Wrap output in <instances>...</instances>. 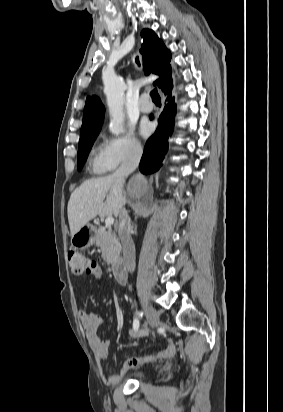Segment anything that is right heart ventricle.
<instances>
[{
	"label": "right heart ventricle",
	"instance_id": "right-heart-ventricle-1",
	"mask_svg": "<svg viewBox=\"0 0 283 412\" xmlns=\"http://www.w3.org/2000/svg\"><path fill=\"white\" fill-rule=\"evenodd\" d=\"M90 166L95 173H103L105 171H108V169L102 161V153L97 149L93 150L91 154Z\"/></svg>",
	"mask_w": 283,
	"mask_h": 412
}]
</instances>
